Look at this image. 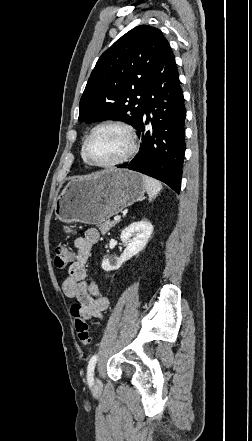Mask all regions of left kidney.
Returning a JSON list of instances; mask_svg holds the SVG:
<instances>
[{"instance_id": "obj_1", "label": "left kidney", "mask_w": 252, "mask_h": 441, "mask_svg": "<svg viewBox=\"0 0 252 441\" xmlns=\"http://www.w3.org/2000/svg\"><path fill=\"white\" fill-rule=\"evenodd\" d=\"M153 232V226L146 220L134 222L126 227L121 233V241L125 244V249L120 257L116 258L115 265H111L110 259L102 260V269L112 271L122 266L124 262L137 255L149 241Z\"/></svg>"}]
</instances>
